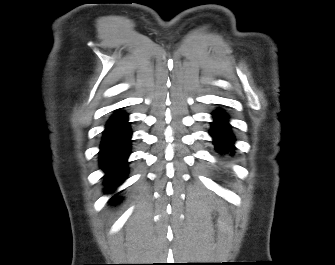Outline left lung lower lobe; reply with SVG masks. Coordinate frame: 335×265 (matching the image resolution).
<instances>
[{"instance_id": "left-lung-lower-lobe-1", "label": "left lung lower lobe", "mask_w": 335, "mask_h": 265, "mask_svg": "<svg viewBox=\"0 0 335 265\" xmlns=\"http://www.w3.org/2000/svg\"><path fill=\"white\" fill-rule=\"evenodd\" d=\"M214 122L212 123V130L210 135L213 137L216 149L223 154L234 151V136L230 132L228 124V117L222 111H216L213 114Z\"/></svg>"}]
</instances>
